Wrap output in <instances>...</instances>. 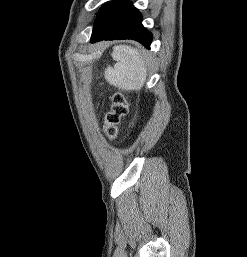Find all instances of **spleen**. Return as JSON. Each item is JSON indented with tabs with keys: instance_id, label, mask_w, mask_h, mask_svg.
<instances>
[{
	"instance_id": "obj_1",
	"label": "spleen",
	"mask_w": 247,
	"mask_h": 257,
	"mask_svg": "<svg viewBox=\"0 0 247 257\" xmlns=\"http://www.w3.org/2000/svg\"><path fill=\"white\" fill-rule=\"evenodd\" d=\"M112 57L117 63L105 69L107 82L119 89H140L146 81L147 67L139 50L127 45L115 46Z\"/></svg>"
}]
</instances>
